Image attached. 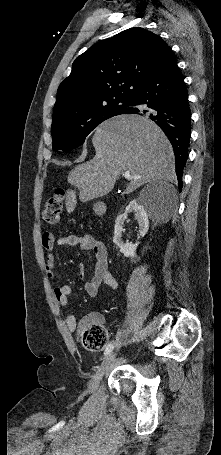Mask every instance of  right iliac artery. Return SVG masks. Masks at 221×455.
<instances>
[{"label": "right iliac artery", "mask_w": 221, "mask_h": 455, "mask_svg": "<svg viewBox=\"0 0 221 455\" xmlns=\"http://www.w3.org/2000/svg\"><path fill=\"white\" fill-rule=\"evenodd\" d=\"M114 349V342L108 344L105 350V355H108Z\"/></svg>", "instance_id": "obj_1"}]
</instances>
